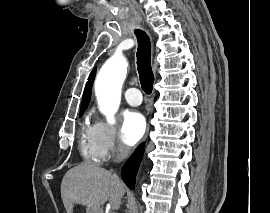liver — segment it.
I'll use <instances>...</instances> for the list:
<instances>
[{"instance_id":"liver-1","label":"liver","mask_w":270,"mask_h":213,"mask_svg":"<svg viewBox=\"0 0 270 213\" xmlns=\"http://www.w3.org/2000/svg\"><path fill=\"white\" fill-rule=\"evenodd\" d=\"M125 190L117 175L91 162L71 168L61 182V198L67 213L73 212L74 204L100 209L107 201L118 210Z\"/></svg>"}]
</instances>
